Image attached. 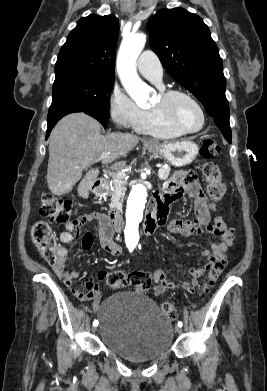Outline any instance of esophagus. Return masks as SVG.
I'll return each mask as SVG.
<instances>
[{
    "label": "esophagus",
    "instance_id": "esophagus-1",
    "mask_svg": "<svg viewBox=\"0 0 267 391\" xmlns=\"http://www.w3.org/2000/svg\"><path fill=\"white\" fill-rule=\"evenodd\" d=\"M147 144H151V142H147Z\"/></svg>",
    "mask_w": 267,
    "mask_h": 391
}]
</instances>
